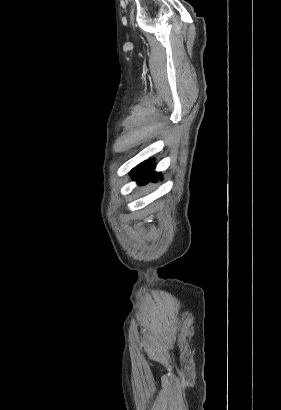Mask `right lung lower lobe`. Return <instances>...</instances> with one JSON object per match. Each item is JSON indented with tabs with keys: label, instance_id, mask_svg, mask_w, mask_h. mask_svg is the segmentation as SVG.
<instances>
[{
	"label": "right lung lower lobe",
	"instance_id": "1",
	"mask_svg": "<svg viewBox=\"0 0 281 410\" xmlns=\"http://www.w3.org/2000/svg\"><path fill=\"white\" fill-rule=\"evenodd\" d=\"M154 167L155 165L152 164L151 161L143 162L135 167L131 173L132 179L137 180L140 185L146 184L150 181L156 182L158 178L161 179V174L151 171Z\"/></svg>",
	"mask_w": 281,
	"mask_h": 410
}]
</instances>
